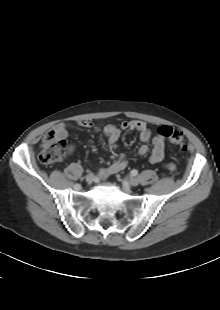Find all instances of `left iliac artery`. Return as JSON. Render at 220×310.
I'll return each mask as SVG.
<instances>
[{
    "mask_svg": "<svg viewBox=\"0 0 220 310\" xmlns=\"http://www.w3.org/2000/svg\"><path fill=\"white\" fill-rule=\"evenodd\" d=\"M138 174V171L136 170V169H133L132 171H131V175L132 176H136Z\"/></svg>",
    "mask_w": 220,
    "mask_h": 310,
    "instance_id": "obj_1",
    "label": "left iliac artery"
}]
</instances>
